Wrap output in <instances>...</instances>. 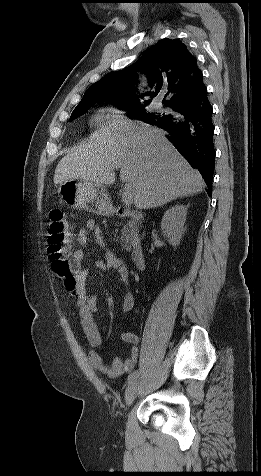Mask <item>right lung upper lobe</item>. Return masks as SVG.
Returning a JSON list of instances; mask_svg holds the SVG:
<instances>
[{"label":"right lung upper lobe","mask_w":261,"mask_h":476,"mask_svg":"<svg viewBox=\"0 0 261 476\" xmlns=\"http://www.w3.org/2000/svg\"><path fill=\"white\" fill-rule=\"evenodd\" d=\"M135 71L148 77L149 85L155 92L138 94ZM203 86L196 57L181 41L164 38L129 68L110 73L90 86L77 107L107 100L117 106L134 108L151 102L150 99L145 100V96L154 97L164 90H167L165 96L169 95V100H163V103L172 107L191 98Z\"/></svg>","instance_id":"obj_1"}]
</instances>
